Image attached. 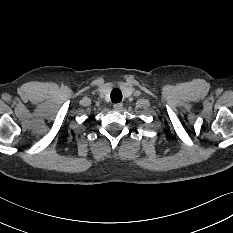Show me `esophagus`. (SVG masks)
<instances>
[{"mask_svg": "<svg viewBox=\"0 0 233 233\" xmlns=\"http://www.w3.org/2000/svg\"><path fill=\"white\" fill-rule=\"evenodd\" d=\"M113 108L115 110L120 111L123 108V104L122 103H116V104L113 105Z\"/></svg>", "mask_w": 233, "mask_h": 233, "instance_id": "1", "label": "esophagus"}]
</instances>
